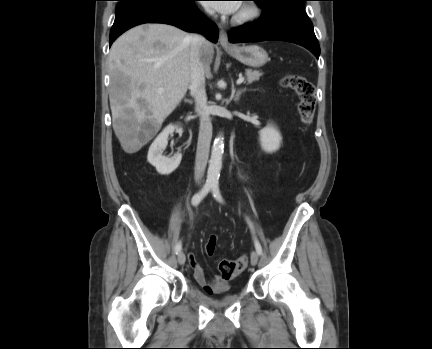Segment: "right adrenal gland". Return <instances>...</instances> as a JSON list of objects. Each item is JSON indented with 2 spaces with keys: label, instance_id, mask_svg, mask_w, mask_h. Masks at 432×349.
I'll return each mask as SVG.
<instances>
[{
  "label": "right adrenal gland",
  "instance_id": "1",
  "mask_svg": "<svg viewBox=\"0 0 432 349\" xmlns=\"http://www.w3.org/2000/svg\"><path fill=\"white\" fill-rule=\"evenodd\" d=\"M184 101H185V102H188V103H190V104H192V103H193V101H192V100H190V99H185Z\"/></svg>",
  "mask_w": 432,
  "mask_h": 349
}]
</instances>
